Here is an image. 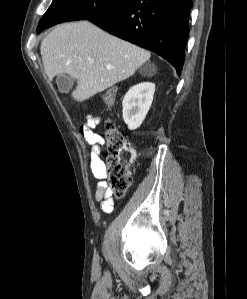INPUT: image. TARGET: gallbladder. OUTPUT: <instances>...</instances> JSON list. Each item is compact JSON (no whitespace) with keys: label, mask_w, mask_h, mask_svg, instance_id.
I'll list each match as a JSON object with an SVG mask.
<instances>
[{"label":"gallbladder","mask_w":247,"mask_h":299,"mask_svg":"<svg viewBox=\"0 0 247 299\" xmlns=\"http://www.w3.org/2000/svg\"><path fill=\"white\" fill-rule=\"evenodd\" d=\"M56 81L58 88L62 93H68L74 85V79L67 74L58 75Z\"/></svg>","instance_id":"bac80fb5"}]
</instances>
